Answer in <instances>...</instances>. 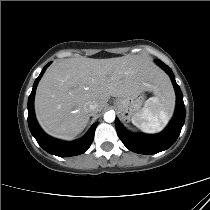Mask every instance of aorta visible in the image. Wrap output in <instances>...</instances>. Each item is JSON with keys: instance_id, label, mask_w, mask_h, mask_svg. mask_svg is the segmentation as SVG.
Returning a JSON list of instances; mask_svg holds the SVG:
<instances>
[{"instance_id": "aorta-1", "label": "aorta", "mask_w": 210, "mask_h": 210, "mask_svg": "<svg viewBox=\"0 0 210 210\" xmlns=\"http://www.w3.org/2000/svg\"><path fill=\"white\" fill-rule=\"evenodd\" d=\"M104 120L106 122H113L115 120V113L113 111H108L104 114Z\"/></svg>"}]
</instances>
